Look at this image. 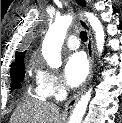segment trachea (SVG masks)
<instances>
[{
  "instance_id": "trachea-1",
  "label": "trachea",
  "mask_w": 122,
  "mask_h": 123,
  "mask_svg": "<svg viewBox=\"0 0 122 123\" xmlns=\"http://www.w3.org/2000/svg\"><path fill=\"white\" fill-rule=\"evenodd\" d=\"M80 38L82 41H87V33L85 31L80 32Z\"/></svg>"
}]
</instances>
